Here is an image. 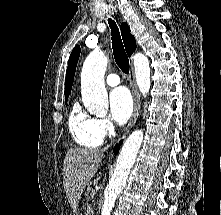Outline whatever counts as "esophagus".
<instances>
[{"label": "esophagus", "instance_id": "1", "mask_svg": "<svg viewBox=\"0 0 221 215\" xmlns=\"http://www.w3.org/2000/svg\"><path fill=\"white\" fill-rule=\"evenodd\" d=\"M129 82L131 85V89H132V94H133V98H134V111L132 114V117L130 119L129 124L126 127L125 133L123 134L126 135L129 130L132 128V126L135 124L139 112H140V95L137 89V85H136V81H135V73H134V67L133 64L131 63L130 65V72H129Z\"/></svg>", "mask_w": 221, "mask_h": 215}]
</instances>
